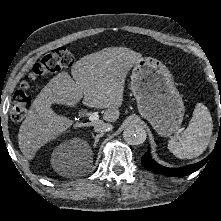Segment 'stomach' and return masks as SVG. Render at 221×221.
Listing matches in <instances>:
<instances>
[{"label": "stomach", "instance_id": "stomach-1", "mask_svg": "<svg viewBox=\"0 0 221 221\" xmlns=\"http://www.w3.org/2000/svg\"><path fill=\"white\" fill-rule=\"evenodd\" d=\"M131 91L139 113L155 131L167 137L182 123L185 107L168 68L152 57L136 62L131 75Z\"/></svg>", "mask_w": 221, "mask_h": 221}]
</instances>
